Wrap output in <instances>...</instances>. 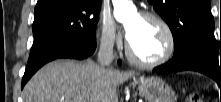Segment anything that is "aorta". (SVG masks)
<instances>
[{"instance_id":"762f6f07","label":"aorta","mask_w":221,"mask_h":102,"mask_svg":"<svg viewBox=\"0 0 221 102\" xmlns=\"http://www.w3.org/2000/svg\"><path fill=\"white\" fill-rule=\"evenodd\" d=\"M114 6V17L119 22L126 21L136 11L132 0H112Z\"/></svg>"}]
</instances>
